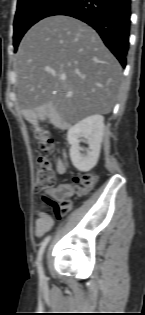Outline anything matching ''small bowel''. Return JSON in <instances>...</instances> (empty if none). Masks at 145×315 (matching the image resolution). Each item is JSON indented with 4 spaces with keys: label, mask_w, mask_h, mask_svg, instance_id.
I'll use <instances>...</instances> for the list:
<instances>
[{
    "label": "small bowel",
    "mask_w": 145,
    "mask_h": 315,
    "mask_svg": "<svg viewBox=\"0 0 145 315\" xmlns=\"http://www.w3.org/2000/svg\"><path fill=\"white\" fill-rule=\"evenodd\" d=\"M67 166L64 158V154L58 157L57 159V170L60 174H64L66 172ZM73 188L68 184L59 185L53 189H51L48 193L55 200H62L73 194ZM53 225V219L46 214H41L39 219L36 222L35 227V235L37 237L43 236L47 233Z\"/></svg>",
    "instance_id": "c3829d8e"
}]
</instances>
